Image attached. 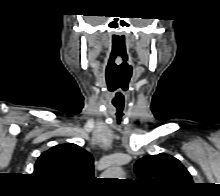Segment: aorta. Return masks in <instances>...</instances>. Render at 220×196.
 <instances>
[{"instance_id":"762f6f07","label":"aorta","mask_w":220,"mask_h":196,"mask_svg":"<svg viewBox=\"0 0 220 196\" xmlns=\"http://www.w3.org/2000/svg\"><path fill=\"white\" fill-rule=\"evenodd\" d=\"M124 173L120 167H112L104 173L106 178H118L122 179Z\"/></svg>"}]
</instances>
